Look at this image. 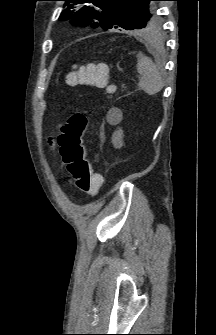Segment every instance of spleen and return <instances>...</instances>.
<instances>
[{"instance_id":"3e777b00","label":"spleen","mask_w":216,"mask_h":335,"mask_svg":"<svg viewBox=\"0 0 216 335\" xmlns=\"http://www.w3.org/2000/svg\"><path fill=\"white\" fill-rule=\"evenodd\" d=\"M137 72L141 75L138 86L148 95H155L163 88V76L153 61L142 54L137 56Z\"/></svg>"}]
</instances>
